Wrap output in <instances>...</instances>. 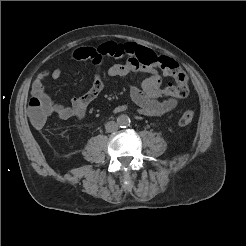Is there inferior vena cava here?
I'll list each match as a JSON object with an SVG mask.
<instances>
[{
    "mask_svg": "<svg viewBox=\"0 0 246 246\" xmlns=\"http://www.w3.org/2000/svg\"><path fill=\"white\" fill-rule=\"evenodd\" d=\"M105 129L107 132H114L118 129V123L109 121L105 124Z\"/></svg>",
    "mask_w": 246,
    "mask_h": 246,
    "instance_id": "obj_1",
    "label": "inferior vena cava"
}]
</instances>
